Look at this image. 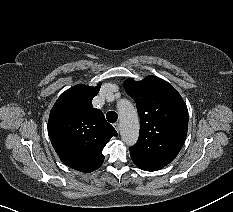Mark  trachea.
<instances>
[{
  "label": "trachea",
  "mask_w": 233,
  "mask_h": 212,
  "mask_svg": "<svg viewBox=\"0 0 233 212\" xmlns=\"http://www.w3.org/2000/svg\"><path fill=\"white\" fill-rule=\"evenodd\" d=\"M106 118L107 120L110 122V123H115L117 121V118H118V115L116 112L114 111H109L107 114H106Z\"/></svg>",
  "instance_id": "1"
}]
</instances>
